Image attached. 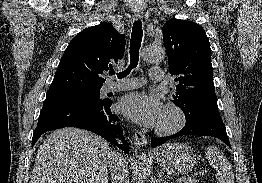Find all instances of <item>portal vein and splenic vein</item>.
<instances>
[{
    "label": "portal vein and splenic vein",
    "instance_id": "obj_1",
    "mask_svg": "<svg viewBox=\"0 0 262 183\" xmlns=\"http://www.w3.org/2000/svg\"><path fill=\"white\" fill-rule=\"evenodd\" d=\"M207 173V171H200L198 174L199 175H204V174H206ZM182 181H184V179H179L178 181H177V183H182Z\"/></svg>",
    "mask_w": 262,
    "mask_h": 183
}]
</instances>
